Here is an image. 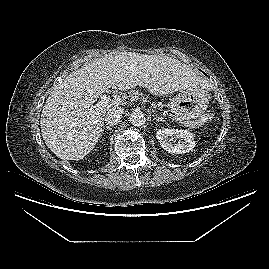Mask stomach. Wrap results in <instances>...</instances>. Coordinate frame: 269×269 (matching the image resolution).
<instances>
[{
	"label": "stomach",
	"mask_w": 269,
	"mask_h": 269,
	"mask_svg": "<svg viewBox=\"0 0 269 269\" xmlns=\"http://www.w3.org/2000/svg\"><path fill=\"white\" fill-rule=\"evenodd\" d=\"M209 93L205 86L180 90L171 101V112L190 125L197 124L209 105Z\"/></svg>",
	"instance_id": "0dacf381"
}]
</instances>
